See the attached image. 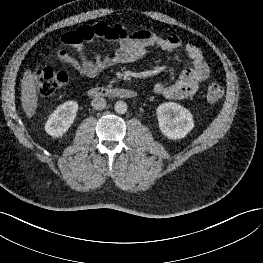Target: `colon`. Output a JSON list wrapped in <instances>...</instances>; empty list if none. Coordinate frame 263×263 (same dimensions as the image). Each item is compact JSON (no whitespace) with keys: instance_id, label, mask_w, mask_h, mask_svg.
<instances>
[{"instance_id":"5ec220e1","label":"colon","mask_w":263,"mask_h":263,"mask_svg":"<svg viewBox=\"0 0 263 263\" xmlns=\"http://www.w3.org/2000/svg\"><path fill=\"white\" fill-rule=\"evenodd\" d=\"M36 90L41 96L54 94L69 80V74L65 71H55L50 67L37 69L34 72ZM224 95V89L219 83H211L207 88V99L211 102L220 100Z\"/></svg>"}]
</instances>
